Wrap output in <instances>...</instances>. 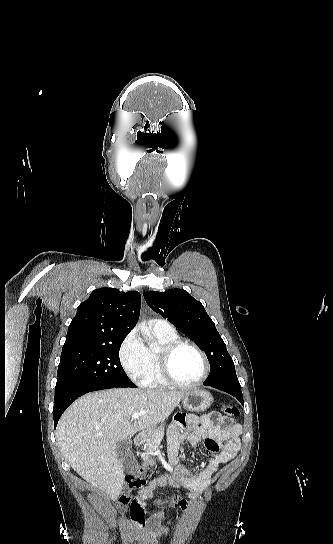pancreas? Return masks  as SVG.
<instances>
[{
	"mask_svg": "<svg viewBox=\"0 0 333 544\" xmlns=\"http://www.w3.org/2000/svg\"><path fill=\"white\" fill-rule=\"evenodd\" d=\"M164 436V428L158 427L153 429L148 433L146 438L143 440L144 444V453H139L144 461H147L151 464H154V459H150V456L153 454L156 446L161 442Z\"/></svg>",
	"mask_w": 333,
	"mask_h": 544,
	"instance_id": "pancreas-1",
	"label": "pancreas"
}]
</instances>
